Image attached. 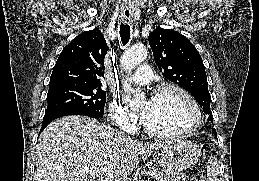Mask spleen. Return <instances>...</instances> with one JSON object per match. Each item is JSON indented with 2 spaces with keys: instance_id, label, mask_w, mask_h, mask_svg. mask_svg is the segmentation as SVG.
<instances>
[{
  "instance_id": "1",
  "label": "spleen",
  "mask_w": 259,
  "mask_h": 181,
  "mask_svg": "<svg viewBox=\"0 0 259 181\" xmlns=\"http://www.w3.org/2000/svg\"><path fill=\"white\" fill-rule=\"evenodd\" d=\"M219 164L215 156H210L207 162V181H219Z\"/></svg>"
}]
</instances>
